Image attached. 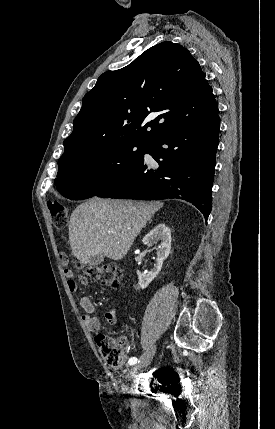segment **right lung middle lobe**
<instances>
[{
  "label": "right lung middle lobe",
  "mask_w": 275,
  "mask_h": 429,
  "mask_svg": "<svg viewBox=\"0 0 275 429\" xmlns=\"http://www.w3.org/2000/svg\"><path fill=\"white\" fill-rule=\"evenodd\" d=\"M147 144L124 142L85 153L59 165L55 185L72 200L96 196L143 160Z\"/></svg>",
  "instance_id": "1"
}]
</instances>
